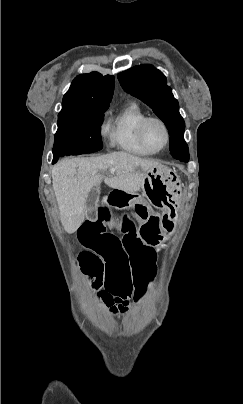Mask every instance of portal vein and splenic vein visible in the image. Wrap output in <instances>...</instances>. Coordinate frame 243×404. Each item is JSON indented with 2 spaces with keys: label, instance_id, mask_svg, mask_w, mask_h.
Wrapping results in <instances>:
<instances>
[{
  "label": "portal vein and splenic vein",
  "instance_id": "18ae733b",
  "mask_svg": "<svg viewBox=\"0 0 243 404\" xmlns=\"http://www.w3.org/2000/svg\"><path fill=\"white\" fill-rule=\"evenodd\" d=\"M115 170H110V174H114Z\"/></svg>",
  "mask_w": 243,
  "mask_h": 404
}]
</instances>
